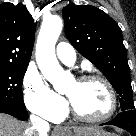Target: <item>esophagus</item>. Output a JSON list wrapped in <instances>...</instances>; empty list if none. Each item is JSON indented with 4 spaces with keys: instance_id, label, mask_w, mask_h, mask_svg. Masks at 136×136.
I'll use <instances>...</instances> for the list:
<instances>
[{
    "instance_id": "34e87169",
    "label": "esophagus",
    "mask_w": 136,
    "mask_h": 136,
    "mask_svg": "<svg viewBox=\"0 0 136 136\" xmlns=\"http://www.w3.org/2000/svg\"><path fill=\"white\" fill-rule=\"evenodd\" d=\"M64 128L63 127H61V126H56L55 128H54V131L56 132V133H61V132H64Z\"/></svg>"
}]
</instances>
